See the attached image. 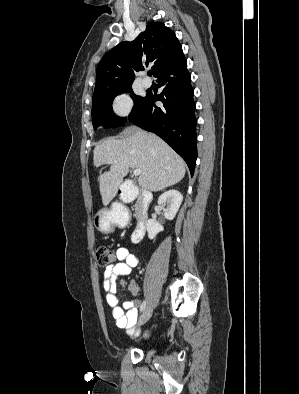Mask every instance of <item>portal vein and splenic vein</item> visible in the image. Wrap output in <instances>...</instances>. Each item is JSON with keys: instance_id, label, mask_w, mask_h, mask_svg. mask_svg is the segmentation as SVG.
I'll return each instance as SVG.
<instances>
[{"instance_id": "obj_1", "label": "portal vein and splenic vein", "mask_w": 299, "mask_h": 394, "mask_svg": "<svg viewBox=\"0 0 299 394\" xmlns=\"http://www.w3.org/2000/svg\"><path fill=\"white\" fill-rule=\"evenodd\" d=\"M133 174L135 176H139L141 174V170L140 169H134Z\"/></svg>"}]
</instances>
